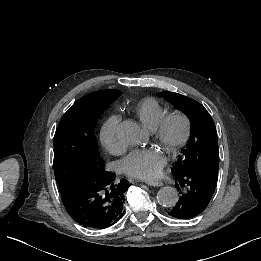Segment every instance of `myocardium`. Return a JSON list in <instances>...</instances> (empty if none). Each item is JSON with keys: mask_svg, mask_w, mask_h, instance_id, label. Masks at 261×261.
I'll use <instances>...</instances> for the list:
<instances>
[{"mask_svg": "<svg viewBox=\"0 0 261 261\" xmlns=\"http://www.w3.org/2000/svg\"><path fill=\"white\" fill-rule=\"evenodd\" d=\"M180 123L182 132L176 141L169 138L170 127L173 123ZM151 138L161 143L171 159L181 154L189 145L193 137V122L191 118L182 111H173L166 113L153 126H146Z\"/></svg>", "mask_w": 261, "mask_h": 261, "instance_id": "f54148a6", "label": "myocardium"}]
</instances>
